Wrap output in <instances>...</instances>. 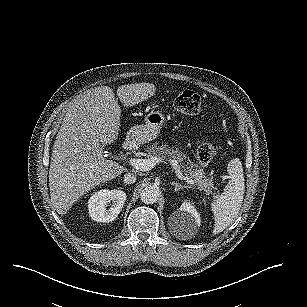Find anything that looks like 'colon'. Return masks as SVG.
Returning <instances> with one entry per match:
<instances>
[{
  "instance_id": "5ec220e1",
  "label": "colon",
  "mask_w": 307,
  "mask_h": 307,
  "mask_svg": "<svg viewBox=\"0 0 307 307\" xmlns=\"http://www.w3.org/2000/svg\"><path fill=\"white\" fill-rule=\"evenodd\" d=\"M201 97L193 90H184L174 99V107L184 114H197L201 111ZM221 147V141L204 142L197 149L198 160L208 164L214 160Z\"/></svg>"
}]
</instances>
